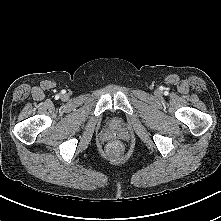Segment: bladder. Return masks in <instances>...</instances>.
Here are the masks:
<instances>
[{
	"mask_svg": "<svg viewBox=\"0 0 221 221\" xmlns=\"http://www.w3.org/2000/svg\"><path fill=\"white\" fill-rule=\"evenodd\" d=\"M112 124H113V125H117L118 123H117L116 121H113Z\"/></svg>",
	"mask_w": 221,
	"mask_h": 221,
	"instance_id": "31cf9c89",
	"label": "bladder"
}]
</instances>
